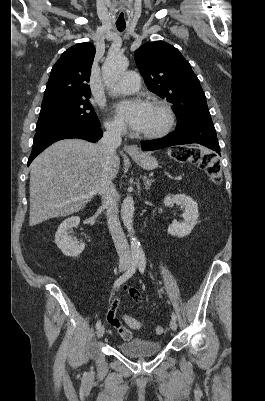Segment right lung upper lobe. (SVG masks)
<instances>
[{
  "label": "right lung upper lobe",
  "instance_id": "1",
  "mask_svg": "<svg viewBox=\"0 0 265 401\" xmlns=\"http://www.w3.org/2000/svg\"><path fill=\"white\" fill-rule=\"evenodd\" d=\"M94 55L92 43H79L67 49L51 70L42 104L90 97L91 90L87 82Z\"/></svg>",
  "mask_w": 265,
  "mask_h": 401
}]
</instances>
